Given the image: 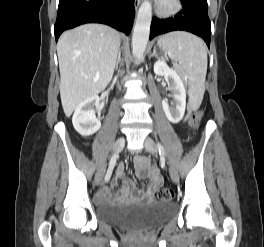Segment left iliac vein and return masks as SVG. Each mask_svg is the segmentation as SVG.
<instances>
[{"mask_svg": "<svg viewBox=\"0 0 264 247\" xmlns=\"http://www.w3.org/2000/svg\"><path fill=\"white\" fill-rule=\"evenodd\" d=\"M144 146H145V149L149 153H151L153 155H157L158 154V149H157L154 141L151 138L147 137L145 139ZM168 171H169V175H170L172 181L177 183L178 180H179V175H178V172H177L176 168L171 163L168 164Z\"/></svg>", "mask_w": 264, "mask_h": 247, "instance_id": "1", "label": "left iliac vein"}]
</instances>
